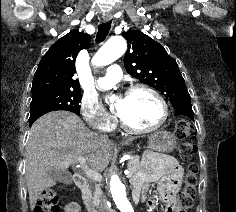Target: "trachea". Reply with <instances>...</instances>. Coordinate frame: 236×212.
<instances>
[{
    "mask_svg": "<svg viewBox=\"0 0 236 212\" xmlns=\"http://www.w3.org/2000/svg\"><path fill=\"white\" fill-rule=\"evenodd\" d=\"M112 21L102 23L98 26V32L96 36V43H101L105 40L107 34L109 33Z\"/></svg>",
    "mask_w": 236,
    "mask_h": 212,
    "instance_id": "trachea-1",
    "label": "trachea"
}]
</instances>
